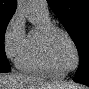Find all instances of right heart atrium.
<instances>
[{"instance_id": "1", "label": "right heart atrium", "mask_w": 89, "mask_h": 89, "mask_svg": "<svg viewBox=\"0 0 89 89\" xmlns=\"http://www.w3.org/2000/svg\"><path fill=\"white\" fill-rule=\"evenodd\" d=\"M26 40L25 21L20 13L10 19L4 34V49L7 57L17 60Z\"/></svg>"}]
</instances>
